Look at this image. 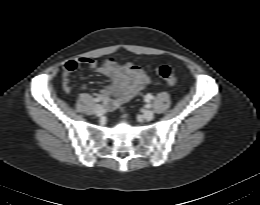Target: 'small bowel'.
<instances>
[{
    "label": "small bowel",
    "instance_id": "small-bowel-1",
    "mask_svg": "<svg viewBox=\"0 0 260 205\" xmlns=\"http://www.w3.org/2000/svg\"><path fill=\"white\" fill-rule=\"evenodd\" d=\"M80 66H87L109 79L110 84L96 95L108 110H114L132 99L151 81L147 72L132 62L121 64L108 58L99 64L93 58L82 57L63 66L62 88L65 92L71 91V74Z\"/></svg>",
    "mask_w": 260,
    "mask_h": 205
}]
</instances>
